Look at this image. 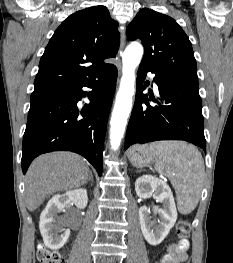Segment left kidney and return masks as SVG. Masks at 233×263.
<instances>
[{"mask_svg": "<svg viewBox=\"0 0 233 263\" xmlns=\"http://www.w3.org/2000/svg\"><path fill=\"white\" fill-rule=\"evenodd\" d=\"M135 191L139 198L148 199L153 196L163 204V208L157 210L160 215L158 224L151 221L150 208L142 206L139 209L143 236L150 245L156 246L165 239L177 220V209L172 191L165 181L151 175L139 177L135 183Z\"/></svg>", "mask_w": 233, "mask_h": 263, "instance_id": "obj_1", "label": "left kidney"}]
</instances>
